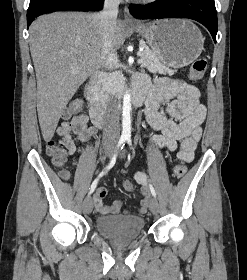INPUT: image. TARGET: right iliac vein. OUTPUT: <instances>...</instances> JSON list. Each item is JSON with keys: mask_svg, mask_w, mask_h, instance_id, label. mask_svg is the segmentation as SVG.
Segmentation results:
<instances>
[{"mask_svg": "<svg viewBox=\"0 0 247 280\" xmlns=\"http://www.w3.org/2000/svg\"><path fill=\"white\" fill-rule=\"evenodd\" d=\"M114 150V146L113 145H107L104 149V154L106 157H110L113 153ZM93 208V200L92 197L88 196L87 198H85L84 202H83V212L85 214H89L91 213Z\"/></svg>", "mask_w": 247, "mask_h": 280, "instance_id": "obj_1", "label": "right iliac vein"}]
</instances>
